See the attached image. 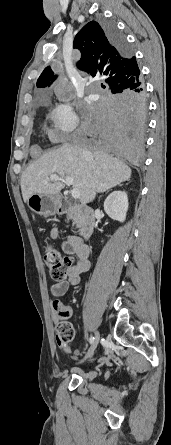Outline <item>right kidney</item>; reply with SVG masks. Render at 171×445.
<instances>
[{
	"label": "right kidney",
	"mask_w": 171,
	"mask_h": 445,
	"mask_svg": "<svg viewBox=\"0 0 171 445\" xmlns=\"http://www.w3.org/2000/svg\"><path fill=\"white\" fill-rule=\"evenodd\" d=\"M128 197L125 191H114L104 202L106 214L117 221L124 222L128 210Z\"/></svg>",
	"instance_id": "obj_1"
}]
</instances>
